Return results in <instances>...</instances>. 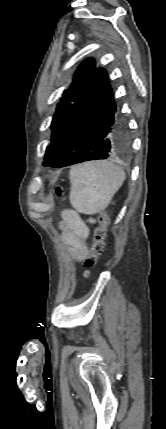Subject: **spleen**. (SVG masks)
Returning a JSON list of instances; mask_svg holds the SVG:
<instances>
[{"instance_id": "3e777b00", "label": "spleen", "mask_w": 166, "mask_h": 429, "mask_svg": "<svg viewBox=\"0 0 166 429\" xmlns=\"http://www.w3.org/2000/svg\"><path fill=\"white\" fill-rule=\"evenodd\" d=\"M125 178L123 168L108 161L85 162L72 167L69 174L71 206L88 215L105 210Z\"/></svg>"}]
</instances>
